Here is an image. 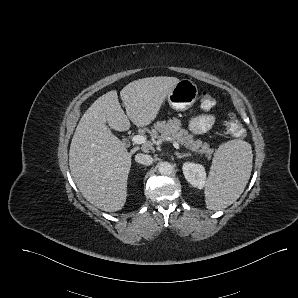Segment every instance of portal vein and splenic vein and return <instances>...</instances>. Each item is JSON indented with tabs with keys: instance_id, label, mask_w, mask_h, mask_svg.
I'll list each match as a JSON object with an SVG mask.
<instances>
[{
	"instance_id": "1",
	"label": "portal vein and splenic vein",
	"mask_w": 298,
	"mask_h": 298,
	"mask_svg": "<svg viewBox=\"0 0 298 298\" xmlns=\"http://www.w3.org/2000/svg\"><path fill=\"white\" fill-rule=\"evenodd\" d=\"M168 140L172 142V145L175 149H179L180 146H179V143L175 140H173L171 137H168ZM147 141V138L143 135H135L132 137V142L134 144H143V143H146Z\"/></svg>"
}]
</instances>
